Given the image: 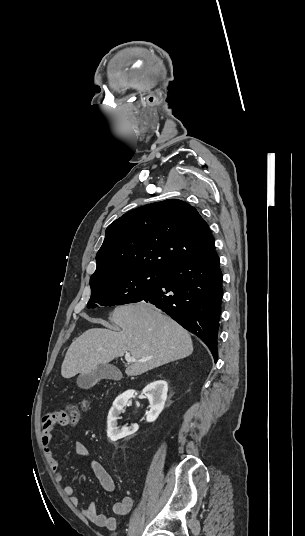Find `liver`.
Returning <instances> with one entry per match:
<instances>
[{
    "instance_id": "1",
    "label": "liver",
    "mask_w": 305,
    "mask_h": 536,
    "mask_svg": "<svg viewBox=\"0 0 305 536\" xmlns=\"http://www.w3.org/2000/svg\"><path fill=\"white\" fill-rule=\"evenodd\" d=\"M122 332L92 328L69 346L61 366L63 378L91 374L99 364L131 354L135 360L125 370L127 376H140L148 370L187 358L193 352L192 340L184 328L149 304L117 306L110 318ZM103 324L105 320H92Z\"/></svg>"
}]
</instances>
